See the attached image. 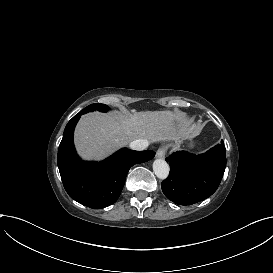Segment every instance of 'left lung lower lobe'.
<instances>
[{"mask_svg": "<svg viewBox=\"0 0 273 273\" xmlns=\"http://www.w3.org/2000/svg\"><path fill=\"white\" fill-rule=\"evenodd\" d=\"M166 161L170 174L161 184L163 193L178 205H192L217 190L226 167L224 142L199 156L177 151Z\"/></svg>", "mask_w": 273, "mask_h": 273, "instance_id": "left-lung-lower-lobe-1", "label": "left lung lower lobe"}]
</instances>
